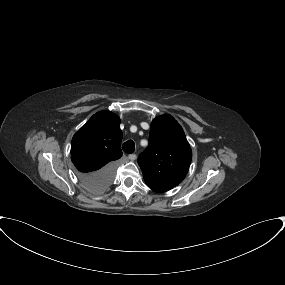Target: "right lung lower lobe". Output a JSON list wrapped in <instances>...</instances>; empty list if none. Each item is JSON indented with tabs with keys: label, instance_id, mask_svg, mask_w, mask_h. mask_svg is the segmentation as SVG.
Wrapping results in <instances>:
<instances>
[{
	"label": "right lung lower lobe",
	"instance_id": "obj_1",
	"mask_svg": "<svg viewBox=\"0 0 285 285\" xmlns=\"http://www.w3.org/2000/svg\"><path fill=\"white\" fill-rule=\"evenodd\" d=\"M116 167L117 162H113L96 172L81 173L79 177L88 190L99 192L105 190L112 183Z\"/></svg>",
	"mask_w": 285,
	"mask_h": 285
}]
</instances>
